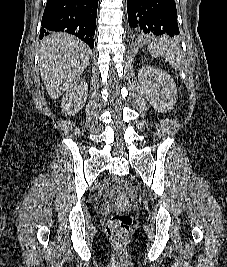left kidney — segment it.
<instances>
[{"mask_svg": "<svg viewBox=\"0 0 227 267\" xmlns=\"http://www.w3.org/2000/svg\"><path fill=\"white\" fill-rule=\"evenodd\" d=\"M138 79L150 104L158 112H167L176 103L177 88L172 77L158 68L145 66Z\"/></svg>", "mask_w": 227, "mask_h": 267, "instance_id": "1", "label": "left kidney"}]
</instances>
